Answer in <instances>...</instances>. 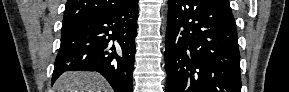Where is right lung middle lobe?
Returning a JSON list of instances; mask_svg holds the SVG:
<instances>
[{"label": "right lung middle lobe", "instance_id": "obj_1", "mask_svg": "<svg viewBox=\"0 0 289 92\" xmlns=\"http://www.w3.org/2000/svg\"><path fill=\"white\" fill-rule=\"evenodd\" d=\"M68 27L62 26V32H64Z\"/></svg>", "mask_w": 289, "mask_h": 92}]
</instances>
